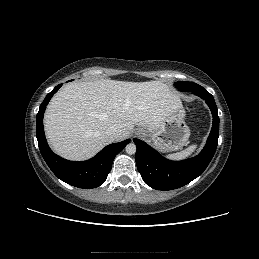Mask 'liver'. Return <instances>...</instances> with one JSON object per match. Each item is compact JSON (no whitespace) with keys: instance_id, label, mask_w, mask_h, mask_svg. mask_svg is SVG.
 <instances>
[{"instance_id":"obj_1","label":"liver","mask_w":259,"mask_h":259,"mask_svg":"<svg viewBox=\"0 0 259 259\" xmlns=\"http://www.w3.org/2000/svg\"><path fill=\"white\" fill-rule=\"evenodd\" d=\"M180 103L177 93L160 81L72 82L50 101L45 133L57 154L85 160L112 142L105 136L110 126L121 129L116 141L128 138L134 125L154 131Z\"/></svg>"}]
</instances>
